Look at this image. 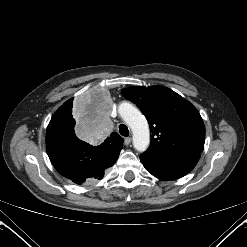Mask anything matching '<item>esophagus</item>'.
<instances>
[{
    "label": "esophagus",
    "mask_w": 247,
    "mask_h": 247,
    "mask_svg": "<svg viewBox=\"0 0 247 247\" xmlns=\"http://www.w3.org/2000/svg\"><path fill=\"white\" fill-rule=\"evenodd\" d=\"M131 141H132L131 137H126V138L124 139L125 145H129V144L131 143Z\"/></svg>",
    "instance_id": "34e87169"
}]
</instances>
